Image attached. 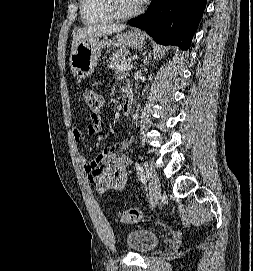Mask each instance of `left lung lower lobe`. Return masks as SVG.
<instances>
[{
    "mask_svg": "<svg viewBox=\"0 0 253 271\" xmlns=\"http://www.w3.org/2000/svg\"><path fill=\"white\" fill-rule=\"evenodd\" d=\"M207 0H152L148 11L129 21L163 45L187 50L202 17Z\"/></svg>",
    "mask_w": 253,
    "mask_h": 271,
    "instance_id": "1",
    "label": "left lung lower lobe"
}]
</instances>
